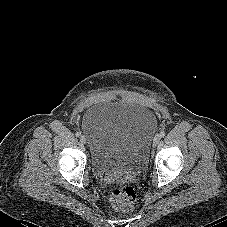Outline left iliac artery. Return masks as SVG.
I'll return each instance as SVG.
<instances>
[{
	"label": "left iliac artery",
	"instance_id": "left-iliac-artery-1",
	"mask_svg": "<svg viewBox=\"0 0 227 227\" xmlns=\"http://www.w3.org/2000/svg\"><path fill=\"white\" fill-rule=\"evenodd\" d=\"M160 136H161V137H164V136H165V132H163V131L160 132Z\"/></svg>",
	"mask_w": 227,
	"mask_h": 227
}]
</instances>
